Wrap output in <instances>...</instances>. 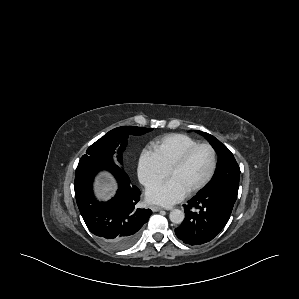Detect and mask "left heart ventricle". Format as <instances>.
Here are the masks:
<instances>
[{
  "label": "left heart ventricle",
  "mask_w": 299,
  "mask_h": 299,
  "mask_svg": "<svg viewBox=\"0 0 299 299\" xmlns=\"http://www.w3.org/2000/svg\"><path fill=\"white\" fill-rule=\"evenodd\" d=\"M211 164L210 150L207 147H200L193 152L185 165L175 171L170 178L188 191L207 176Z\"/></svg>",
  "instance_id": "obj_1"
}]
</instances>
